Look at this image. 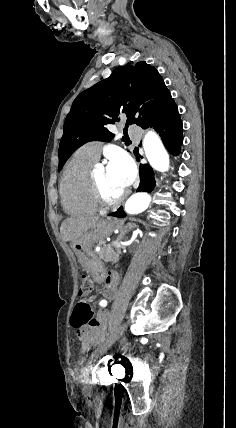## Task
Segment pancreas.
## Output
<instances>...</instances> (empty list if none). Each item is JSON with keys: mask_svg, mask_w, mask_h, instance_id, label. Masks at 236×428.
Segmentation results:
<instances>
[{"mask_svg": "<svg viewBox=\"0 0 236 428\" xmlns=\"http://www.w3.org/2000/svg\"><path fill=\"white\" fill-rule=\"evenodd\" d=\"M97 256L100 258V260H103V262H112L116 256L113 244L102 246V248H100V252H97Z\"/></svg>", "mask_w": 236, "mask_h": 428, "instance_id": "pancreas-1", "label": "pancreas"}]
</instances>
